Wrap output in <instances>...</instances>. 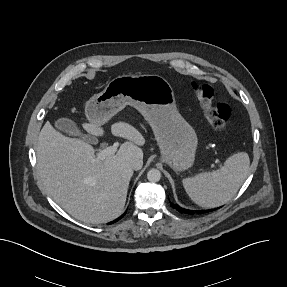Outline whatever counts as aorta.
I'll return each instance as SVG.
<instances>
[{
	"label": "aorta",
	"instance_id": "obj_1",
	"mask_svg": "<svg viewBox=\"0 0 287 287\" xmlns=\"http://www.w3.org/2000/svg\"><path fill=\"white\" fill-rule=\"evenodd\" d=\"M147 179L150 182H158L161 179V172L158 169H150L147 173Z\"/></svg>",
	"mask_w": 287,
	"mask_h": 287
}]
</instances>
